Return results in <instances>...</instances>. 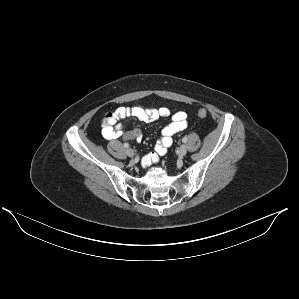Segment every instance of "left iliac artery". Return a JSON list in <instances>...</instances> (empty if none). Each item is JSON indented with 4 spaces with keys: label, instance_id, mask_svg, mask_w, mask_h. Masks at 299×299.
<instances>
[{
    "label": "left iliac artery",
    "instance_id": "obj_1",
    "mask_svg": "<svg viewBox=\"0 0 299 299\" xmlns=\"http://www.w3.org/2000/svg\"><path fill=\"white\" fill-rule=\"evenodd\" d=\"M182 141H183L184 143L187 142V138L184 137V138L182 139Z\"/></svg>",
    "mask_w": 299,
    "mask_h": 299
}]
</instances>
